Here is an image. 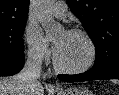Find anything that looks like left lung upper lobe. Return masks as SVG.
Wrapping results in <instances>:
<instances>
[{
    "label": "left lung upper lobe",
    "instance_id": "5c2ea615",
    "mask_svg": "<svg viewBox=\"0 0 119 95\" xmlns=\"http://www.w3.org/2000/svg\"><path fill=\"white\" fill-rule=\"evenodd\" d=\"M96 47L93 69L119 62V0H67Z\"/></svg>",
    "mask_w": 119,
    "mask_h": 95
}]
</instances>
